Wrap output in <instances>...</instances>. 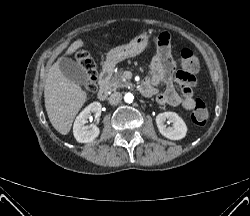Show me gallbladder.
<instances>
[{"label":"gallbladder","instance_id":"obj_1","mask_svg":"<svg viewBox=\"0 0 250 216\" xmlns=\"http://www.w3.org/2000/svg\"><path fill=\"white\" fill-rule=\"evenodd\" d=\"M62 73L69 80L73 81L78 85H86L89 81L86 70L69 58H62L59 62Z\"/></svg>","mask_w":250,"mask_h":216}]
</instances>
